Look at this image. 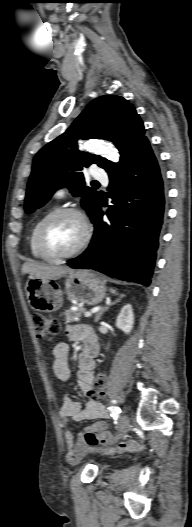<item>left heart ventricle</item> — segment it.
I'll list each match as a JSON object with an SVG mask.
<instances>
[{"label":"left heart ventricle","instance_id":"obj_1","mask_svg":"<svg viewBox=\"0 0 192 527\" xmlns=\"http://www.w3.org/2000/svg\"><path fill=\"white\" fill-rule=\"evenodd\" d=\"M83 235V225L80 219L71 214L58 217L49 226L45 242L49 250L62 254L73 250Z\"/></svg>","mask_w":192,"mask_h":527}]
</instances>
